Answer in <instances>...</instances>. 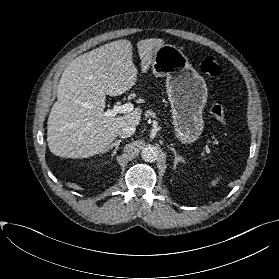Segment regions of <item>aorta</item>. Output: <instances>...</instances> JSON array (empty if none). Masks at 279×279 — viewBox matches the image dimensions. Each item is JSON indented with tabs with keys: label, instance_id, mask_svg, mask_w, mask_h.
Returning <instances> with one entry per match:
<instances>
[{
	"label": "aorta",
	"instance_id": "1",
	"mask_svg": "<svg viewBox=\"0 0 279 279\" xmlns=\"http://www.w3.org/2000/svg\"><path fill=\"white\" fill-rule=\"evenodd\" d=\"M142 158L146 162H155L158 159V150L153 145H146L142 152Z\"/></svg>",
	"mask_w": 279,
	"mask_h": 279
}]
</instances>
